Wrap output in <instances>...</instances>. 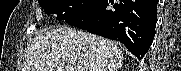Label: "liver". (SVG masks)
I'll list each match as a JSON object with an SVG mask.
<instances>
[{"mask_svg": "<svg viewBox=\"0 0 181 71\" xmlns=\"http://www.w3.org/2000/svg\"><path fill=\"white\" fill-rule=\"evenodd\" d=\"M123 60L117 43L74 28L57 27L33 39L22 71H118Z\"/></svg>", "mask_w": 181, "mask_h": 71, "instance_id": "obj_1", "label": "liver"}]
</instances>
